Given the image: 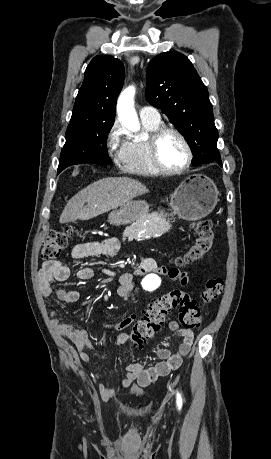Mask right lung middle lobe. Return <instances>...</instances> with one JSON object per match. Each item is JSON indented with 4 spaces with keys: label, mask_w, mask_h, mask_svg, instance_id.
Masks as SVG:
<instances>
[{
    "label": "right lung middle lobe",
    "mask_w": 271,
    "mask_h": 459,
    "mask_svg": "<svg viewBox=\"0 0 271 459\" xmlns=\"http://www.w3.org/2000/svg\"><path fill=\"white\" fill-rule=\"evenodd\" d=\"M113 124L114 117H72L66 131L58 173L74 164H109L106 140Z\"/></svg>",
    "instance_id": "right-lung-middle-lobe-1"
}]
</instances>
